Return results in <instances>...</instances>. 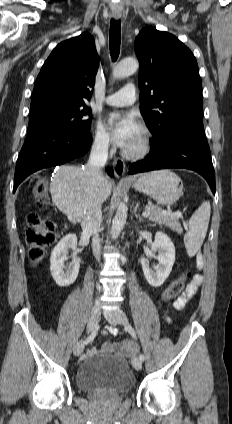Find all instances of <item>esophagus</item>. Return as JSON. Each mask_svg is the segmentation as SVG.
<instances>
[{
	"instance_id": "34e87169",
	"label": "esophagus",
	"mask_w": 232,
	"mask_h": 424,
	"mask_svg": "<svg viewBox=\"0 0 232 424\" xmlns=\"http://www.w3.org/2000/svg\"><path fill=\"white\" fill-rule=\"evenodd\" d=\"M113 17L114 19L118 20L121 17V13L120 12H113ZM113 166H114V173L115 176L117 178L123 177L125 174V170H126V165L124 163V161L120 158H116L113 162Z\"/></svg>"
}]
</instances>
